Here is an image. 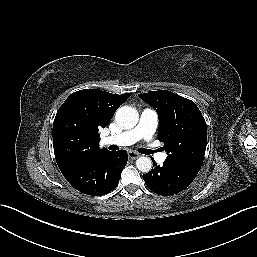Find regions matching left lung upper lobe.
Here are the masks:
<instances>
[{
  "label": "left lung upper lobe",
  "instance_id": "1",
  "mask_svg": "<svg viewBox=\"0 0 257 257\" xmlns=\"http://www.w3.org/2000/svg\"><path fill=\"white\" fill-rule=\"evenodd\" d=\"M139 97L157 110L159 140L167 159L201 168L207 145L206 122L196 104L168 90L150 91Z\"/></svg>",
  "mask_w": 257,
  "mask_h": 257
}]
</instances>
